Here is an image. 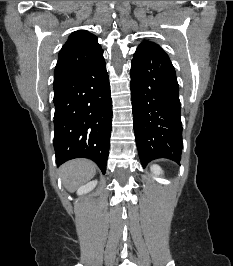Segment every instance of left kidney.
Masks as SVG:
<instances>
[{"mask_svg":"<svg viewBox=\"0 0 233 266\" xmlns=\"http://www.w3.org/2000/svg\"><path fill=\"white\" fill-rule=\"evenodd\" d=\"M151 171H152V173L154 175H160V174H162V170H161V168L158 165H153L151 167Z\"/></svg>","mask_w":233,"mask_h":266,"instance_id":"5707ae66","label":"left kidney"}]
</instances>
